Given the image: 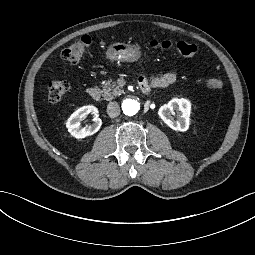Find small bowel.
Listing matches in <instances>:
<instances>
[{
	"label": "small bowel",
	"mask_w": 255,
	"mask_h": 255,
	"mask_svg": "<svg viewBox=\"0 0 255 255\" xmlns=\"http://www.w3.org/2000/svg\"><path fill=\"white\" fill-rule=\"evenodd\" d=\"M177 73L175 70H171L160 77L154 78L153 83L157 87H167L175 82Z\"/></svg>",
	"instance_id": "1"
}]
</instances>
